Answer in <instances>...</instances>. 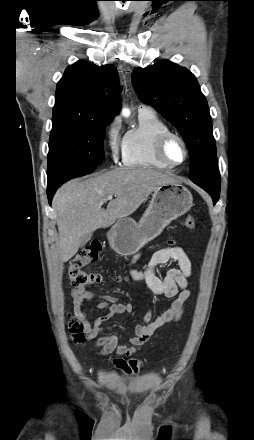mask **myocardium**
Listing matches in <instances>:
<instances>
[{
  "mask_svg": "<svg viewBox=\"0 0 254 440\" xmlns=\"http://www.w3.org/2000/svg\"><path fill=\"white\" fill-rule=\"evenodd\" d=\"M172 139L178 140L183 148L184 157L180 163H173L172 161L169 160V158L166 155V147ZM154 154H155V157L164 165H166L170 168H176V167L183 165L186 162L188 155H189V151H188V147H187V144H186V141L184 140V138L180 134H178L174 131L168 130V131L161 133L157 137V139L155 141V145H154Z\"/></svg>",
  "mask_w": 254,
  "mask_h": 440,
  "instance_id": "myocardium-1",
  "label": "myocardium"
}]
</instances>
